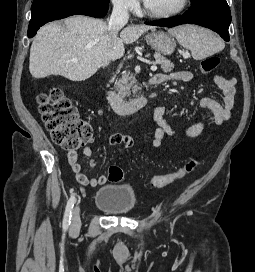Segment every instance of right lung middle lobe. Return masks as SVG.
<instances>
[{"label": "right lung middle lobe", "instance_id": "dd1d6c3e", "mask_svg": "<svg viewBox=\"0 0 255 272\" xmlns=\"http://www.w3.org/2000/svg\"><path fill=\"white\" fill-rule=\"evenodd\" d=\"M98 1H100L102 3H109L110 2V0H98Z\"/></svg>", "mask_w": 255, "mask_h": 272}]
</instances>
